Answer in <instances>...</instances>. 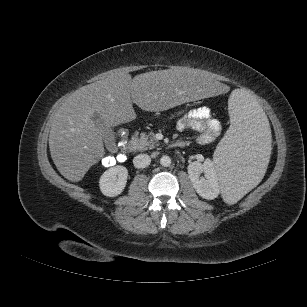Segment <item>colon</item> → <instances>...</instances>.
Returning <instances> with one entry per match:
<instances>
[{"instance_id":"obj_1","label":"colon","mask_w":307,"mask_h":307,"mask_svg":"<svg viewBox=\"0 0 307 307\" xmlns=\"http://www.w3.org/2000/svg\"><path fill=\"white\" fill-rule=\"evenodd\" d=\"M119 137L120 139L118 144L116 145V152L103 157V159L101 160V164L103 166H114L126 156V146L128 139V133L126 129H119Z\"/></svg>"}]
</instances>
